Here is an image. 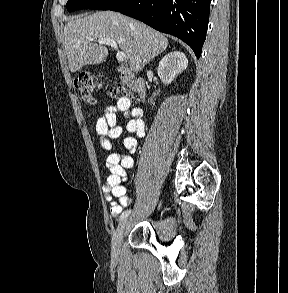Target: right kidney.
Segmentation results:
<instances>
[{
  "instance_id": "obj_1",
  "label": "right kidney",
  "mask_w": 288,
  "mask_h": 293,
  "mask_svg": "<svg viewBox=\"0 0 288 293\" xmlns=\"http://www.w3.org/2000/svg\"><path fill=\"white\" fill-rule=\"evenodd\" d=\"M188 66V59L183 52L174 51L165 55L157 69L159 78L164 84H170L174 78Z\"/></svg>"
}]
</instances>
